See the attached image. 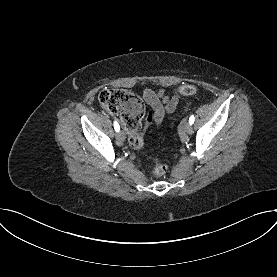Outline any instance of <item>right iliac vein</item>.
I'll list each match as a JSON object with an SVG mask.
<instances>
[{
  "instance_id": "1",
  "label": "right iliac vein",
  "mask_w": 277,
  "mask_h": 277,
  "mask_svg": "<svg viewBox=\"0 0 277 277\" xmlns=\"http://www.w3.org/2000/svg\"><path fill=\"white\" fill-rule=\"evenodd\" d=\"M116 138L118 141L123 142L125 140V134L123 131H118L116 134Z\"/></svg>"
}]
</instances>
